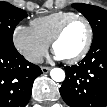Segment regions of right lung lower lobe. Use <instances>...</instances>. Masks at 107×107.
Returning a JSON list of instances; mask_svg holds the SVG:
<instances>
[{
	"instance_id": "right-lung-lower-lobe-1",
	"label": "right lung lower lobe",
	"mask_w": 107,
	"mask_h": 107,
	"mask_svg": "<svg viewBox=\"0 0 107 107\" xmlns=\"http://www.w3.org/2000/svg\"><path fill=\"white\" fill-rule=\"evenodd\" d=\"M42 74L17 51L0 49V107H25L33 81Z\"/></svg>"
}]
</instances>
